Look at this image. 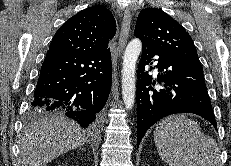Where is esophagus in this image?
<instances>
[{"mask_svg": "<svg viewBox=\"0 0 231 166\" xmlns=\"http://www.w3.org/2000/svg\"><path fill=\"white\" fill-rule=\"evenodd\" d=\"M130 24H131V15H130L129 8H127V10L125 11L124 17H123V22H122L121 31H120L119 40H118L119 53L123 52L127 44L129 31H130Z\"/></svg>", "mask_w": 231, "mask_h": 166, "instance_id": "34e87169", "label": "esophagus"}]
</instances>
